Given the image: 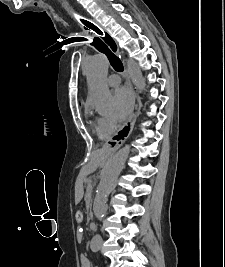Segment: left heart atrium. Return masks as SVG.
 I'll return each mask as SVG.
<instances>
[{
	"mask_svg": "<svg viewBox=\"0 0 225 267\" xmlns=\"http://www.w3.org/2000/svg\"><path fill=\"white\" fill-rule=\"evenodd\" d=\"M115 115L117 119H124L133 106V95L126 87H119L114 92Z\"/></svg>",
	"mask_w": 225,
	"mask_h": 267,
	"instance_id": "1",
	"label": "left heart atrium"
}]
</instances>
